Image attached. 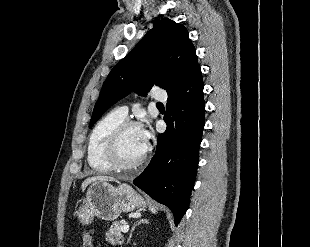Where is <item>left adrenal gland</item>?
<instances>
[{"mask_svg": "<svg viewBox=\"0 0 310 247\" xmlns=\"http://www.w3.org/2000/svg\"><path fill=\"white\" fill-rule=\"evenodd\" d=\"M142 223L148 224L149 221H148L147 219H140L139 221H137V222L134 223V225H133V227H132V229H131L129 238H128V240H127V244L130 243V240H131V238H132V234H133V232H134V230H135V227L138 226V225H140V224H142Z\"/></svg>", "mask_w": 310, "mask_h": 247, "instance_id": "1", "label": "left adrenal gland"}]
</instances>
